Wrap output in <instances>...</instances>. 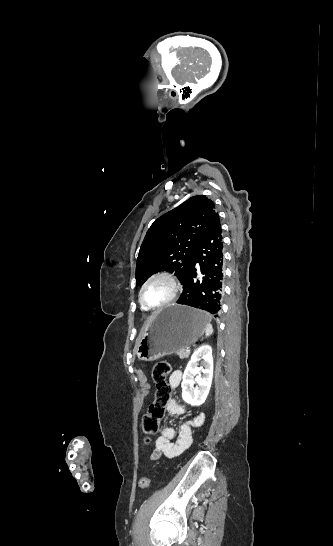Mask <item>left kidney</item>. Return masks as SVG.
<instances>
[{"label": "left kidney", "instance_id": "5707ae66", "mask_svg": "<svg viewBox=\"0 0 333 546\" xmlns=\"http://www.w3.org/2000/svg\"><path fill=\"white\" fill-rule=\"evenodd\" d=\"M202 360L203 367H199V361ZM203 372V375L201 374ZM196 376V378H194ZM213 377V356L209 345H201L191 356L190 361L184 371L182 387L183 400L192 405L199 406L203 404L209 393ZM197 382L196 389L193 385Z\"/></svg>", "mask_w": 333, "mask_h": 546}]
</instances>
